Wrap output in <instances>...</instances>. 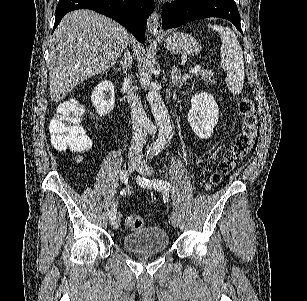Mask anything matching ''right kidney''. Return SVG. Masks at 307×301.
I'll use <instances>...</instances> for the list:
<instances>
[{
  "mask_svg": "<svg viewBox=\"0 0 307 301\" xmlns=\"http://www.w3.org/2000/svg\"><path fill=\"white\" fill-rule=\"evenodd\" d=\"M91 102L99 116L108 114L114 108L115 88L112 80H102L92 90Z\"/></svg>",
  "mask_w": 307,
  "mask_h": 301,
  "instance_id": "ca27d5eb",
  "label": "right kidney"
}]
</instances>
